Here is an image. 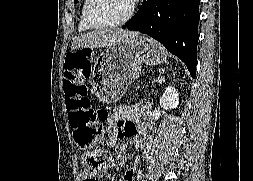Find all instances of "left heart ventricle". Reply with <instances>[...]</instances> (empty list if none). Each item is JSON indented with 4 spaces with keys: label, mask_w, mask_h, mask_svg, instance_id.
<instances>
[{
    "label": "left heart ventricle",
    "mask_w": 253,
    "mask_h": 181,
    "mask_svg": "<svg viewBox=\"0 0 253 181\" xmlns=\"http://www.w3.org/2000/svg\"><path fill=\"white\" fill-rule=\"evenodd\" d=\"M131 6V0H96L92 14L99 22H116L127 15Z\"/></svg>",
    "instance_id": "left-heart-ventricle-1"
}]
</instances>
